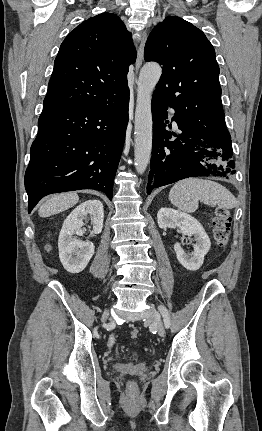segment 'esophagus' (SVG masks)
Listing matches in <instances>:
<instances>
[{"label":"esophagus","mask_w":262,"mask_h":431,"mask_svg":"<svg viewBox=\"0 0 262 431\" xmlns=\"http://www.w3.org/2000/svg\"><path fill=\"white\" fill-rule=\"evenodd\" d=\"M146 31L142 32V36H141V40H140V44L138 46L137 49V59H136V63H135V71L136 73L139 71L142 62H143V55H144V46H145V42H146Z\"/></svg>","instance_id":"1"}]
</instances>
